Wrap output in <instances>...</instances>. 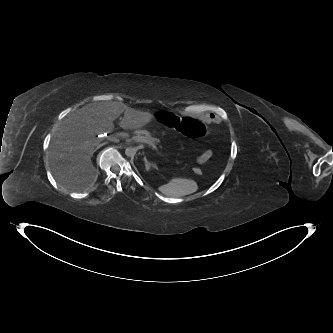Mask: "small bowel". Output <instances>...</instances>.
I'll use <instances>...</instances> for the list:
<instances>
[{
	"instance_id": "1",
	"label": "small bowel",
	"mask_w": 333,
	"mask_h": 333,
	"mask_svg": "<svg viewBox=\"0 0 333 333\" xmlns=\"http://www.w3.org/2000/svg\"><path fill=\"white\" fill-rule=\"evenodd\" d=\"M211 156L212 152L210 150H205L197 157L196 161L198 164H204L211 158Z\"/></svg>"
}]
</instances>
